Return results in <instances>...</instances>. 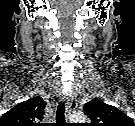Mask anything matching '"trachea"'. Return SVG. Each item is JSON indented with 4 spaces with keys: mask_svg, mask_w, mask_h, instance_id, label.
Returning a JSON list of instances; mask_svg holds the SVG:
<instances>
[{
    "mask_svg": "<svg viewBox=\"0 0 135 126\" xmlns=\"http://www.w3.org/2000/svg\"><path fill=\"white\" fill-rule=\"evenodd\" d=\"M65 103L60 102L56 111V124L62 125L65 123Z\"/></svg>",
    "mask_w": 135,
    "mask_h": 126,
    "instance_id": "1",
    "label": "trachea"
}]
</instances>
